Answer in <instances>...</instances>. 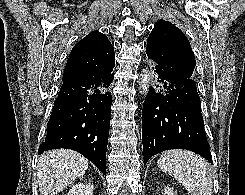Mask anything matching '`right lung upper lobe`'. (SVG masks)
I'll return each mask as SVG.
<instances>
[{
    "instance_id": "obj_1",
    "label": "right lung upper lobe",
    "mask_w": 245,
    "mask_h": 195,
    "mask_svg": "<svg viewBox=\"0 0 245 195\" xmlns=\"http://www.w3.org/2000/svg\"><path fill=\"white\" fill-rule=\"evenodd\" d=\"M115 66L114 49L106 35L93 31L72 49L63 81L92 77L96 71H109Z\"/></svg>"
}]
</instances>
